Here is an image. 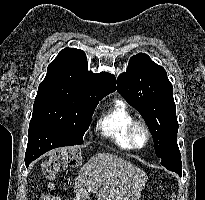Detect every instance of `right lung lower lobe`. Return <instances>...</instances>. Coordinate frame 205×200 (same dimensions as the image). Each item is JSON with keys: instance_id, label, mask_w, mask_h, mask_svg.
I'll list each match as a JSON object with an SVG mask.
<instances>
[{"instance_id": "1", "label": "right lung lower lobe", "mask_w": 205, "mask_h": 200, "mask_svg": "<svg viewBox=\"0 0 205 200\" xmlns=\"http://www.w3.org/2000/svg\"><path fill=\"white\" fill-rule=\"evenodd\" d=\"M29 140L25 154L26 167L45 152L63 146L77 145L58 131L54 126L31 119L29 125Z\"/></svg>"}]
</instances>
